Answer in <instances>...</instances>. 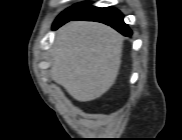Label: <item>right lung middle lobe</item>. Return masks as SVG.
<instances>
[{
	"label": "right lung middle lobe",
	"instance_id": "obj_1",
	"mask_svg": "<svg viewBox=\"0 0 182 140\" xmlns=\"http://www.w3.org/2000/svg\"><path fill=\"white\" fill-rule=\"evenodd\" d=\"M89 5H90L89 2H82V3L75 4L74 6L68 8L66 11L61 13L55 20L54 24L62 22L64 20H66L67 18L79 13L80 11L87 8Z\"/></svg>",
	"mask_w": 182,
	"mask_h": 140
}]
</instances>
